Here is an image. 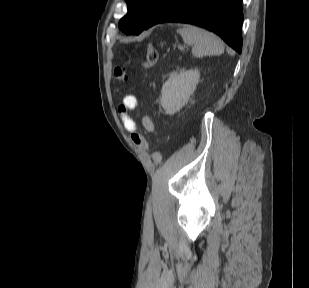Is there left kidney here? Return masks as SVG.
<instances>
[{
    "label": "left kidney",
    "mask_w": 309,
    "mask_h": 288,
    "mask_svg": "<svg viewBox=\"0 0 309 288\" xmlns=\"http://www.w3.org/2000/svg\"><path fill=\"white\" fill-rule=\"evenodd\" d=\"M198 69L173 72L163 84L161 90V105L166 114L173 115L187 104L199 82Z\"/></svg>",
    "instance_id": "5707ae66"
}]
</instances>
